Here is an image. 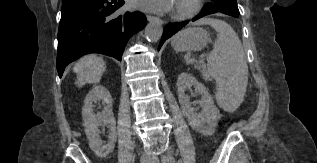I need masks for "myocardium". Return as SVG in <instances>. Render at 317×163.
<instances>
[{"label": "myocardium", "mask_w": 317, "mask_h": 163, "mask_svg": "<svg viewBox=\"0 0 317 163\" xmlns=\"http://www.w3.org/2000/svg\"><path fill=\"white\" fill-rule=\"evenodd\" d=\"M203 0H180L174 7L172 16L178 20L188 19L197 14L201 8Z\"/></svg>", "instance_id": "1"}]
</instances>
